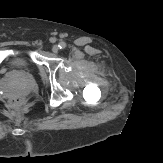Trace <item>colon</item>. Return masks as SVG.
Masks as SVG:
<instances>
[{
  "label": "colon",
  "mask_w": 163,
  "mask_h": 163,
  "mask_svg": "<svg viewBox=\"0 0 163 163\" xmlns=\"http://www.w3.org/2000/svg\"><path fill=\"white\" fill-rule=\"evenodd\" d=\"M10 105L11 107L13 108H18L20 105H21V100L19 98H13L11 101H10Z\"/></svg>",
  "instance_id": "obj_1"
}]
</instances>
